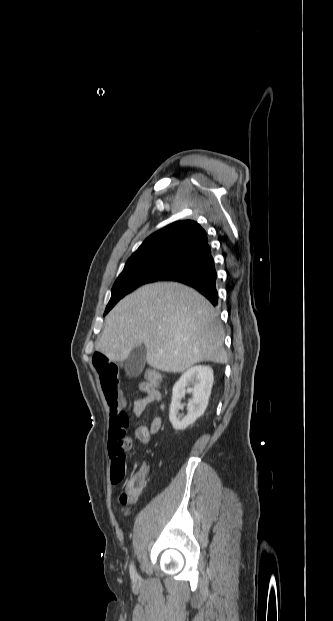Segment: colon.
I'll return each mask as SVG.
<instances>
[{
  "label": "colon",
  "mask_w": 333,
  "mask_h": 621,
  "mask_svg": "<svg viewBox=\"0 0 333 621\" xmlns=\"http://www.w3.org/2000/svg\"><path fill=\"white\" fill-rule=\"evenodd\" d=\"M146 380L154 387H158L161 383V375L155 369H148L145 373ZM126 466L123 463H116L111 467V481L113 484H120L125 479ZM148 467L141 464L126 480L121 492L119 501L124 514L128 513V506L132 504L147 482Z\"/></svg>",
  "instance_id": "obj_1"
}]
</instances>
